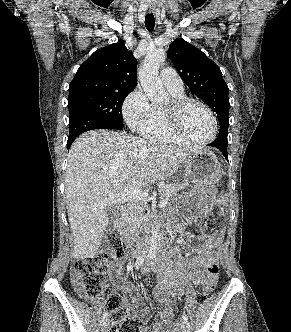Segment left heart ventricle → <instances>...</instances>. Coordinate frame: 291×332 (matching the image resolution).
I'll use <instances>...</instances> for the list:
<instances>
[{
    "mask_svg": "<svg viewBox=\"0 0 291 332\" xmlns=\"http://www.w3.org/2000/svg\"><path fill=\"white\" fill-rule=\"evenodd\" d=\"M182 123L185 132L196 140H205L212 135V120L198 105H191L184 111Z\"/></svg>",
    "mask_w": 291,
    "mask_h": 332,
    "instance_id": "b2bd125f",
    "label": "left heart ventricle"
}]
</instances>
